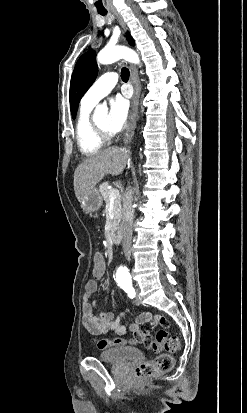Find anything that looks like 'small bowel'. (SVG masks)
Here are the masks:
<instances>
[{"label":"small bowel","mask_w":247,"mask_h":413,"mask_svg":"<svg viewBox=\"0 0 247 413\" xmlns=\"http://www.w3.org/2000/svg\"><path fill=\"white\" fill-rule=\"evenodd\" d=\"M97 254L95 256H98ZM95 280L100 281L101 277L96 276ZM97 288V282H86L82 297V323L91 335L99 336L109 331L120 335L130 332L136 336L137 347L139 349H147L153 341L151 332L153 324H162L161 328L165 330L171 329V324L165 323L166 317L164 315H152L150 312H143L136 317L133 323L126 326L122 323L125 313L98 312L100 303L91 299L96 293ZM151 317H158L159 321L151 322Z\"/></svg>","instance_id":"small-bowel-1"}]
</instances>
